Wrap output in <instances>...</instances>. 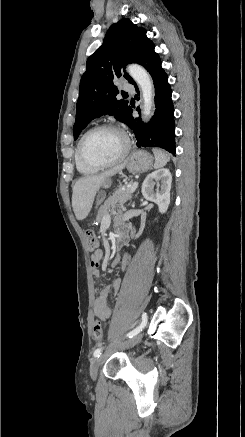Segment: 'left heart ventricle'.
I'll use <instances>...</instances> for the list:
<instances>
[{"instance_id":"b2bd125f","label":"left heart ventricle","mask_w":245,"mask_h":437,"mask_svg":"<svg viewBox=\"0 0 245 437\" xmlns=\"http://www.w3.org/2000/svg\"><path fill=\"white\" fill-rule=\"evenodd\" d=\"M123 137L113 130H100L92 133L84 142L85 155L96 162H108L117 158L123 151Z\"/></svg>"}]
</instances>
